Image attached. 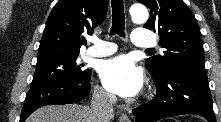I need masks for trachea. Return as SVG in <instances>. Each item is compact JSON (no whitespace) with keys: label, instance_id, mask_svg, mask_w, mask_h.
Listing matches in <instances>:
<instances>
[{"label":"trachea","instance_id":"trachea-1","mask_svg":"<svg viewBox=\"0 0 221 122\" xmlns=\"http://www.w3.org/2000/svg\"><path fill=\"white\" fill-rule=\"evenodd\" d=\"M112 7V27L110 30V35H119L121 37L125 36V14L123 0H111ZM147 51H152V49H147Z\"/></svg>","mask_w":221,"mask_h":122}]
</instances>
